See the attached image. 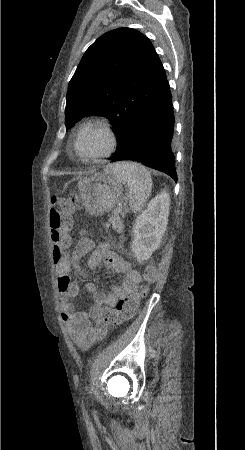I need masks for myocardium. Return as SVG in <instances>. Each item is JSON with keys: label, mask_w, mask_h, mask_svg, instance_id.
Instances as JSON below:
<instances>
[{"label": "myocardium", "mask_w": 245, "mask_h": 450, "mask_svg": "<svg viewBox=\"0 0 245 450\" xmlns=\"http://www.w3.org/2000/svg\"><path fill=\"white\" fill-rule=\"evenodd\" d=\"M93 131H102L106 134L107 139H108L107 148L104 151L97 153V154L83 155L78 150L79 142L85 134H87L88 132H93ZM117 144H118L117 135H116L114 129L111 127V125L104 121H97V122H93V123L84 124L79 128V130L77 131L76 136L74 138L73 149H74L75 154L80 159L96 160V159L106 158V157L110 156L111 154H113L117 148Z\"/></svg>", "instance_id": "obj_1"}]
</instances>
